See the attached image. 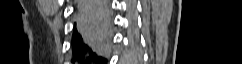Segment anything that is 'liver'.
<instances>
[{
    "label": "liver",
    "instance_id": "obj_1",
    "mask_svg": "<svg viewBox=\"0 0 242 64\" xmlns=\"http://www.w3.org/2000/svg\"><path fill=\"white\" fill-rule=\"evenodd\" d=\"M81 3V2H80ZM77 25L83 29L88 36H102L107 32L103 25L100 23L98 18L91 17L89 19L77 18Z\"/></svg>",
    "mask_w": 242,
    "mask_h": 64
}]
</instances>
